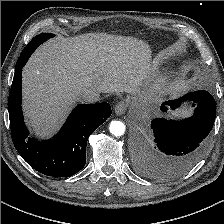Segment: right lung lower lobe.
Wrapping results in <instances>:
<instances>
[{
	"label": "right lung lower lobe",
	"mask_w": 224,
	"mask_h": 224,
	"mask_svg": "<svg viewBox=\"0 0 224 224\" xmlns=\"http://www.w3.org/2000/svg\"><path fill=\"white\" fill-rule=\"evenodd\" d=\"M24 49L17 60L8 98L12 141L22 158L38 172L53 177H70L86 163L88 137L110 117L108 103L79 104L52 139L38 141L29 136L21 107L22 68L33 53Z\"/></svg>",
	"instance_id": "right-lung-lower-lobe-1"
}]
</instances>
